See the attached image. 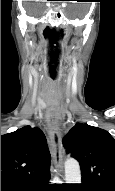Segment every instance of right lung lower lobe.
<instances>
[{
	"label": "right lung lower lobe",
	"instance_id": "right-lung-lower-lobe-1",
	"mask_svg": "<svg viewBox=\"0 0 115 191\" xmlns=\"http://www.w3.org/2000/svg\"><path fill=\"white\" fill-rule=\"evenodd\" d=\"M50 176L19 185L2 184L1 191H47Z\"/></svg>",
	"mask_w": 115,
	"mask_h": 191
}]
</instances>
